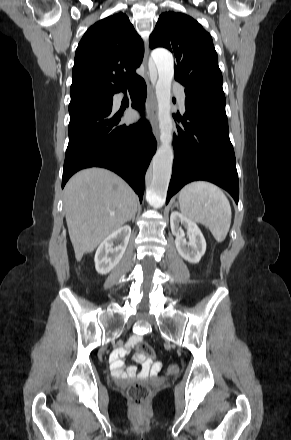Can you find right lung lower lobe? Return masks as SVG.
<instances>
[{"instance_id":"obj_1","label":"right lung lower lobe","mask_w":291,"mask_h":440,"mask_svg":"<svg viewBox=\"0 0 291 440\" xmlns=\"http://www.w3.org/2000/svg\"><path fill=\"white\" fill-rule=\"evenodd\" d=\"M127 89L132 107L142 109L147 94L145 81L138 76L127 88L117 92L126 94ZM115 93L70 101L69 143L62 188L80 169L104 167L126 180L141 202L145 173L156 151V140L145 119L131 125L119 124L122 114L112 109Z\"/></svg>"}]
</instances>
